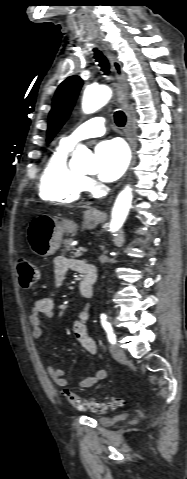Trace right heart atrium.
I'll list each match as a JSON object with an SVG mask.
<instances>
[{"instance_id": "d8ad5b80", "label": "right heart atrium", "mask_w": 187, "mask_h": 479, "mask_svg": "<svg viewBox=\"0 0 187 479\" xmlns=\"http://www.w3.org/2000/svg\"><path fill=\"white\" fill-rule=\"evenodd\" d=\"M92 185H93V181H92L90 178H88V177H84V186L87 187V188H89V187H91Z\"/></svg>"}]
</instances>
